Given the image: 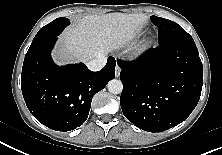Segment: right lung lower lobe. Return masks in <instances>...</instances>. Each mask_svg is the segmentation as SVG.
<instances>
[{
	"label": "right lung lower lobe",
	"mask_w": 222,
	"mask_h": 155,
	"mask_svg": "<svg viewBox=\"0 0 222 155\" xmlns=\"http://www.w3.org/2000/svg\"><path fill=\"white\" fill-rule=\"evenodd\" d=\"M57 36L44 40L25 55L21 87L31 114L56 131H70L88 118L92 97L115 77V60L90 71L83 63L59 67L51 59ZM108 59V60H109Z\"/></svg>",
	"instance_id": "obj_1"
}]
</instances>
